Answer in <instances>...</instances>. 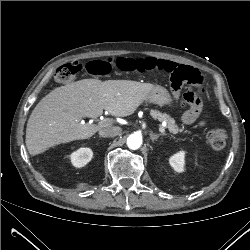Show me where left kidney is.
<instances>
[{
    "mask_svg": "<svg viewBox=\"0 0 250 250\" xmlns=\"http://www.w3.org/2000/svg\"><path fill=\"white\" fill-rule=\"evenodd\" d=\"M169 163L171 167L178 173L185 171V152L180 151L170 157Z\"/></svg>",
    "mask_w": 250,
    "mask_h": 250,
    "instance_id": "obj_1",
    "label": "left kidney"
}]
</instances>
